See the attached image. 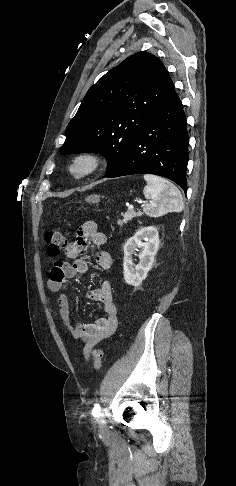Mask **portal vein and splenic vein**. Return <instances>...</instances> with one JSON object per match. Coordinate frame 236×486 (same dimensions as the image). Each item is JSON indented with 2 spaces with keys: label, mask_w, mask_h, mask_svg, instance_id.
<instances>
[{
  "label": "portal vein and splenic vein",
  "mask_w": 236,
  "mask_h": 486,
  "mask_svg": "<svg viewBox=\"0 0 236 486\" xmlns=\"http://www.w3.org/2000/svg\"><path fill=\"white\" fill-rule=\"evenodd\" d=\"M134 209V206L133 205H129L128 206V210L132 211Z\"/></svg>",
  "instance_id": "18ae733b"
}]
</instances>
